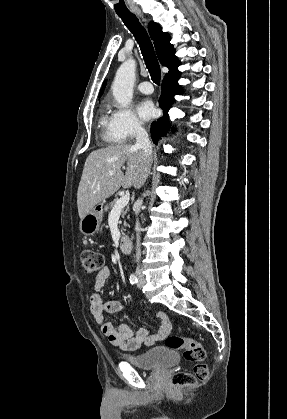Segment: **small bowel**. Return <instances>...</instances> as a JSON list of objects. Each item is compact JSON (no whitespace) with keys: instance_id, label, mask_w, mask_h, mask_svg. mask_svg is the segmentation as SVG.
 <instances>
[{"instance_id":"obj_1","label":"small bowel","mask_w":287,"mask_h":419,"mask_svg":"<svg viewBox=\"0 0 287 419\" xmlns=\"http://www.w3.org/2000/svg\"><path fill=\"white\" fill-rule=\"evenodd\" d=\"M110 269L104 267L100 270L94 283V292L90 295V312L95 321L100 325L102 333L108 338L110 343L122 350L135 351L142 345H152L158 340L165 339L171 332V323L167 315L159 311L156 318L160 324L155 334H149L146 328H140L136 333L126 324L121 323L117 328L104 316V311L116 313L121 311L124 306L120 301L104 302L100 295L101 289L110 277Z\"/></svg>"}]
</instances>
